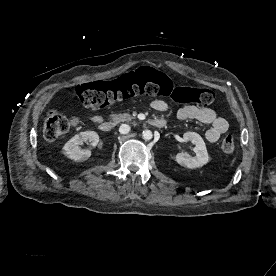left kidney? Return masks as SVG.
<instances>
[{
  "mask_svg": "<svg viewBox=\"0 0 276 276\" xmlns=\"http://www.w3.org/2000/svg\"><path fill=\"white\" fill-rule=\"evenodd\" d=\"M184 141H190L195 145V156L191 157L188 153H178L175 157L176 162L181 166L194 169L202 167L209 161L206 145L202 137L195 132H186L183 134Z\"/></svg>",
  "mask_w": 276,
  "mask_h": 276,
  "instance_id": "obj_1",
  "label": "left kidney"
}]
</instances>
